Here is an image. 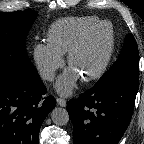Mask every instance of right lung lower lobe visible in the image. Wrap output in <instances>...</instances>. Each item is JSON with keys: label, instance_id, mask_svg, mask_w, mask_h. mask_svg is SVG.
Listing matches in <instances>:
<instances>
[{"label": "right lung lower lobe", "instance_id": "right-lung-lower-lobe-1", "mask_svg": "<svg viewBox=\"0 0 144 144\" xmlns=\"http://www.w3.org/2000/svg\"><path fill=\"white\" fill-rule=\"evenodd\" d=\"M45 94L40 78L0 75V144H39L40 127L55 106Z\"/></svg>", "mask_w": 144, "mask_h": 144}]
</instances>
